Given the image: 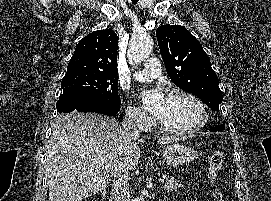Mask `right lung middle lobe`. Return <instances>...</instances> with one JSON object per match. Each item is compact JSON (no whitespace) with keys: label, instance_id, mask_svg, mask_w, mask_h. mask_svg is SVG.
I'll return each mask as SVG.
<instances>
[{"label":"right lung middle lobe","instance_id":"obj_1","mask_svg":"<svg viewBox=\"0 0 271 201\" xmlns=\"http://www.w3.org/2000/svg\"><path fill=\"white\" fill-rule=\"evenodd\" d=\"M60 96H81L88 99L114 100L118 98V77L90 71L66 72Z\"/></svg>","mask_w":271,"mask_h":201}]
</instances>
